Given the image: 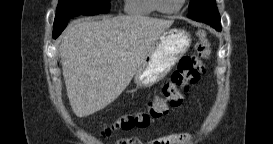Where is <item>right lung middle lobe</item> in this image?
<instances>
[{
    "mask_svg": "<svg viewBox=\"0 0 273 144\" xmlns=\"http://www.w3.org/2000/svg\"><path fill=\"white\" fill-rule=\"evenodd\" d=\"M110 0H59L54 20L53 38L67 26L68 19L79 15H95L110 10Z\"/></svg>",
    "mask_w": 273,
    "mask_h": 144,
    "instance_id": "dd1d6c3e",
    "label": "right lung middle lobe"
}]
</instances>
